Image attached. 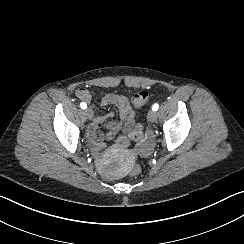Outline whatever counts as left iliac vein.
Segmentation results:
<instances>
[{
  "mask_svg": "<svg viewBox=\"0 0 244 244\" xmlns=\"http://www.w3.org/2000/svg\"><path fill=\"white\" fill-rule=\"evenodd\" d=\"M157 113L155 111H150L148 114H147V118L150 122H155L157 120Z\"/></svg>",
  "mask_w": 244,
  "mask_h": 244,
  "instance_id": "left-iliac-vein-1",
  "label": "left iliac vein"
}]
</instances>
